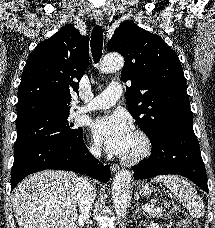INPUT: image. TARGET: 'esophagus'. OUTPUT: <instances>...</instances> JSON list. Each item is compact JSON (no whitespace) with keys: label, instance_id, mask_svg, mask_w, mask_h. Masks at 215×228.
<instances>
[{"label":"esophagus","instance_id":"1","mask_svg":"<svg viewBox=\"0 0 215 228\" xmlns=\"http://www.w3.org/2000/svg\"><path fill=\"white\" fill-rule=\"evenodd\" d=\"M94 19L97 25H102L104 22V16L102 14H95ZM112 171H117V166H111Z\"/></svg>","mask_w":215,"mask_h":228}]
</instances>
